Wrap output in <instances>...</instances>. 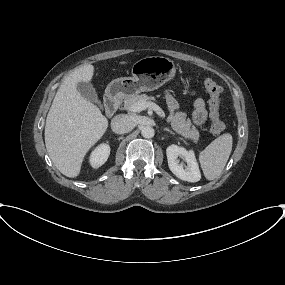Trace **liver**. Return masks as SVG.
<instances>
[{"mask_svg": "<svg viewBox=\"0 0 285 285\" xmlns=\"http://www.w3.org/2000/svg\"><path fill=\"white\" fill-rule=\"evenodd\" d=\"M93 75L91 64L69 74L60 85L46 118L47 152L56 168L70 178L80 174L86 153L108 127V120L100 109L77 90L79 82H89Z\"/></svg>", "mask_w": 285, "mask_h": 285, "instance_id": "1", "label": "liver"}]
</instances>
